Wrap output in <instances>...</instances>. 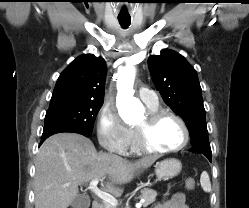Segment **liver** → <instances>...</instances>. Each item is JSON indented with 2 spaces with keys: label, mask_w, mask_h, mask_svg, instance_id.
<instances>
[{
  "label": "liver",
  "mask_w": 249,
  "mask_h": 208,
  "mask_svg": "<svg viewBox=\"0 0 249 208\" xmlns=\"http://www.w3.org/2000/svg\"><path fill=\"white\" fill-rule=\"evenodd\" d=\"M156 157L128 161L113 154L98 153L92 141L76 133L49 137L36 156L35 208H67L78 196V186L109 177L105 188L119 197L123 189L113 184L129 183L137 171L149 168Z\"/></svg>",
  "instance_id": "1"
}]
</instances>
